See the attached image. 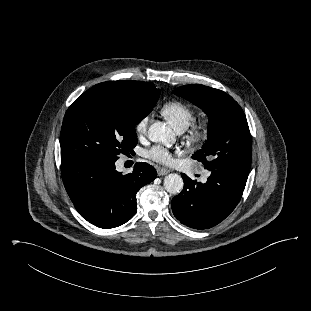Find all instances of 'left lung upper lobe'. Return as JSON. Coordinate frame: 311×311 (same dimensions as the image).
<instances>
[{
	"label": "left lung upper lobe",
	"instance_id": "obj_1",
	"mask_svg": "<svg viewBox=\"0 0 311 311\" xmlns=\"http://www.w3.org/2000/svg\"><path fill=\"white\" fill-rule=\"evenodd\" d=\"M173 92L202 108L209 118L208 139L192 158L202 162L207 170L249 174L251 135L238 103L225 92L200 84L179 87Z\"/></svg>",
	"mask_w": 311,
	"mask_h": 311
}]
</instances>
